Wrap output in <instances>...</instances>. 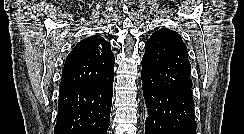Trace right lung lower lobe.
<instances>
[{"mask_svg":"<svg viewBox=\"0 0 244 134\" xmlns=\"http://www.w3.org/2000/svg\"><path fill=\"white\" fill-rule=\"evenodd\" d=\"M113 80L60 90L54 134H107Z\"/></svg>","mask_w":244,"mask_h":134,"instance_id":"obj_1","label":"right lung lower lobe"}]
</instances>
